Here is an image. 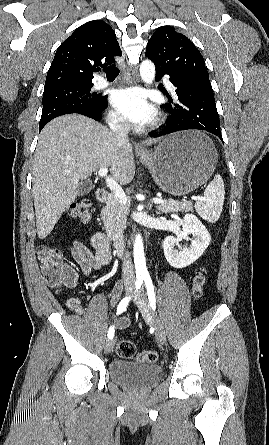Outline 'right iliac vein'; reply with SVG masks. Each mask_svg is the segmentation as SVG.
Returning a JSON list of instances; mask_svg holds the SVG:
<instances>
[{
	"mask_svg": "<svg viewBox=\"0 0 269 445\" xmlns=\"http://www.w3.org/2000/svg\"><path fill=\"white\" fill-rule=\"evenodd\" d=\"M130 292H131V288H128L126 293L129 294ZM115 342H116L115 338L108 340V342L106 343L105 348H104L105 353H110L112 351V349L114 348Z\"/></svg>",
	"mask_w": 269,
	"mask_h": 445,
	"instance_id": "right-iliac-vein-1",
	"label": "right iliac vein"
}]
</instances>
